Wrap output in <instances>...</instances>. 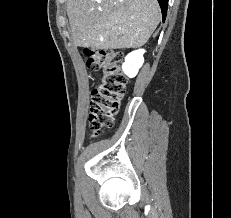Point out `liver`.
<instances>
[{
	"label": "liver",
	"mask_w": 231,
	"mask_h": 218,
	"mask_svg": "<svg viewBox=\"0 0 231 218\" xmlns=\"http://www.w3.org/2000/svg\"><path fill=\"white\" fill-rule=\"evenodd\" d=\"M67 14L74 44L97 50L140 47L161 19L157 0H68Z\"/></svg>",
	"instance_id": "6515ba94"
}]
</instances>
